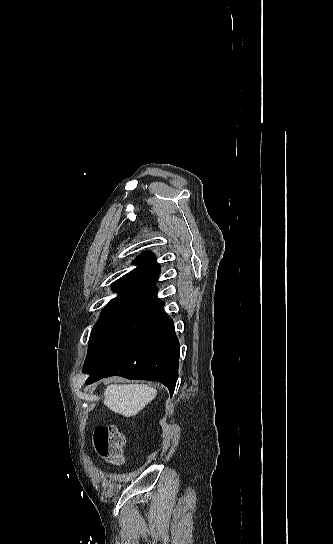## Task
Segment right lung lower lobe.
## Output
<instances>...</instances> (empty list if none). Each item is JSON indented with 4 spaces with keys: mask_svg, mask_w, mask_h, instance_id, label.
I'll use <instances>...</instances> for the list:
<instances>
[{
    "mask_svg": "<svg viewBox=\"0 0 333 544\" xmlns=\"http://www.w3.org/2000/svg\"><path fill=\"white\" fill-rule=\"evenodd\" d=\"M180 344L173 320L162 315L140 336L116 350L103 362L84 368L87 384L104 377L159 381L172 396L178 379Z\"/></svg>",
    "mask_w": 333,
    "mask_h": 544,
    "instance_id": "1",
    "label": "right lung lower lobe"
}]
</instances>
